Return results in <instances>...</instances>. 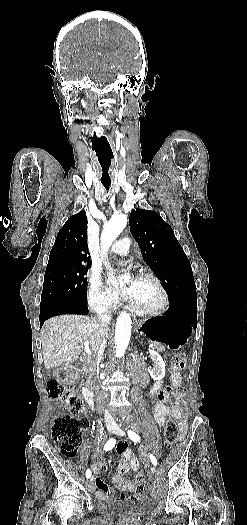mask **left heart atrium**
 Listing matches in <instances>:
<instances>
[{
  "mask_svg": "<svg viewBox=\"0 0 247 525\" xmlns=\"http://www.w3.org/2000/svg\"><path fill=\"white\" fill-rule=\"evenodd\" d=\"M137 289L138 284L137 281L134 279L127 287L123 288L119 292V297L121 299H134Z\"/></svg>",
  "mask_w": 247,
  "mask_h": 525,
  "instance_id": "obj_1",
  "label": "left heart atrium"
}]
</instances>
